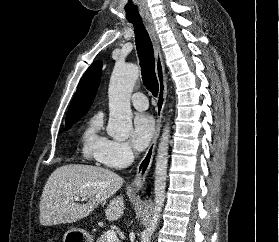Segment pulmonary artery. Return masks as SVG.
Returning <instances> with one entry per match:
<instances>
[{"instance_id": "e3ab8cb5", "label": "pulmonary artery", "mask_w": 279, "mask_h": 242, "mask_svg": "<svg viewBox=\"0 0 279 242\" xmlns=\"http://www.w3.org/2000/svg\"><path fill=\"white\" fill-rule=\"evenodd\" d=\"M131 102L133 106L138 110H145L148 108V99L145 94L143 93H135L131 97Z\"/></svg>"}]
</instances>
